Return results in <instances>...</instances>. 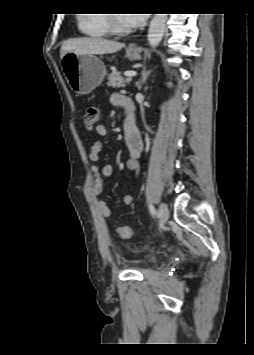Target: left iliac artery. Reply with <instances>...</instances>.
Masks as SVG:
<instances>
[{
  "instance_id": "1",
  "label": "left iliac artery",
  "mask_w": 254,
  "mask_h": 355,
  "mask_svg": "<svg viewBox=\"0 0 254 355\" xmlns=\"http://www.w3.org/2000/svg\"><path fill=\"white\" fill-rule=\"evenodd\" d=\"M149 210H150L151 214H153V215L155 214V209L152 205H149Z\"/></svg>"
}]
</instances>
